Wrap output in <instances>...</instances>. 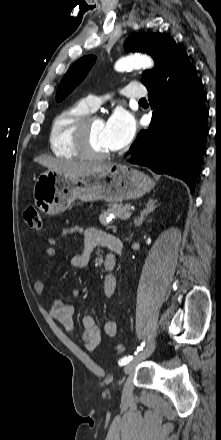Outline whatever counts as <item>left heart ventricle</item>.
<instances>
[{
    "mask_svg": "<svg viewBox=\"0 0 221 440\" xmlns=\"http://www.w3.org/2000/svg\"><path fill=\"white\" fill-rule=\"evenodd\" d=\"M105 123L101 119L94 120L89 127V141L91 147L97 152L110 151L104 137Z\"/></svg>",
    "mask_w": 221,
    "mask_h": 440,
    "instance_id": "left-heart-ventricle-1",
    "label": "left heart ventricle"
}]
</instances>
